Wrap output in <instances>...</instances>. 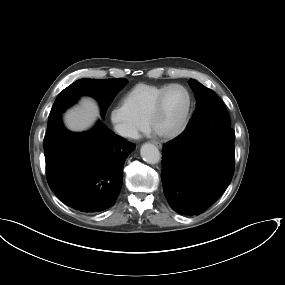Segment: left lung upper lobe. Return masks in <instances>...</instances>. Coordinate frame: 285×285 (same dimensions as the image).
<instances>
[{"instance_id":"obj_1","label":"left lung upper lobe","mask_w":285,"mask_h":285,"mask_svg":"<svg viewBox=\"0 0 285 285\" xmlns=\"http://www.w3.org/2000/svg\"><path fill=\"white\" fill-rule=\"evenodd\" d=\"M189 84L195 92L197 103L193 116L186 128L209 121L231 125L225 105L214 91L193 79L189 80Z\"/></svg>"}]
</instances>
